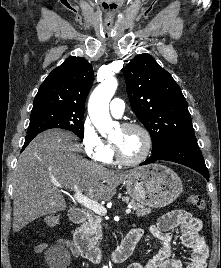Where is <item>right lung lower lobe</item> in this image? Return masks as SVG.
<instances>
[{
  "label": "right lung lower lobe",
  "instance_id": "1",
  "mask_svg": "<svg viewBox=\"0 0 221 268\" xmlns=\"http://www.w3.org/2000/svg\"><path fill=\"white\" fill-rule=\"evenodd\" d=\"M36 135H27L25 138V143L22 148V151L26 148V146L30 143V141L35 137Z\"/></svg>",
  "mask_w": 221,
  "mask_h": 268
}]
</instances>
